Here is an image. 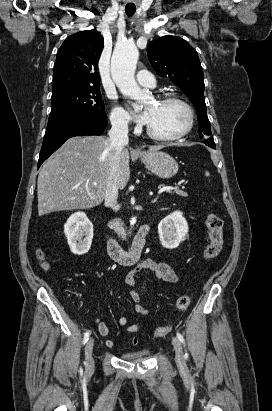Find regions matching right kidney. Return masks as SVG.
Instances as JSON below:
<instances>
[{
  "label": "right kidney",
  "mask_w": 272,
  "mask_h": 411,
  "mask_svg": "<svg viewBox=\"0 0 272 411\" xmlns=\"http://www.w3.org/2000/svg\"><path fill=\"white\" fill-rule=\"evenodd\" d=\"M64 233L73 254L83 255L89 251L93 239V224L84 212H76L68 218Z\"/></svg>",
  "instance_id": "obj_1"
}]
</instances>
